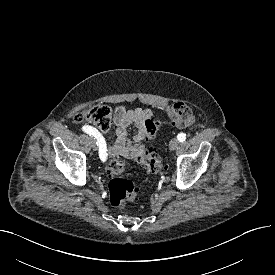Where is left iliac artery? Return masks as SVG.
<instances>
[{
	"label": "left iliac artery",
	"instance_id": "44dca946",
	"mask_svg": "<svg viewBox=\"0 0 275 275\" xmlns=\"http://www.w3.org/2000/svg\"><path fill=\"white\" fill-rule=\"evenodd\" d=\"M177 139L180 141V142H183V141H185L186 140V134L185 133H179L178 135H177Z\"/></svg>",
	"mask_w": 275,
	"mask_h": 275
}]
</instances>
